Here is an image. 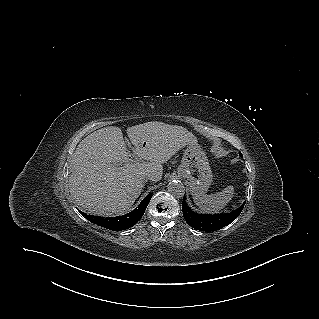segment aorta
<instances>
[{
  "instance_id": "762f6f07",
  "label": "aorta",
  "mask_w": 319,
  "mask_h": 319,
  "mask_svg": "<svg viewBox=\"0 0 319 319\" xmlns=\"http://www.w3.org/2000/svg\"><path fill=\"white\" fill-rule=\"evenodd\" d=\"M168 191L176 197H182L185 194V186L180 181H172L168 184Z\"/></svg>"
}]
</instances>
